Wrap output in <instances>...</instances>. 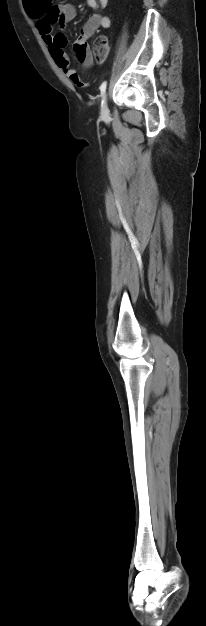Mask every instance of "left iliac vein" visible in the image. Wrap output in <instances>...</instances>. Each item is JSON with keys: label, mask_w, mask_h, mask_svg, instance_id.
Listing matches in <instances>:
<instances>
[{"label": "left iliac vein", "mask_w": 206, "mask_h": 626, "mask_svg": "<svg viewBox=\"0 0 206 626\" xmlns=\"http://www.w3.org/2000/svg\"><path fill=\"white\" fill-rule=\"evenodd\" d=\"M108 114H109V110H108V105H107V96L106 94H104L102 98L101 115L105 117Z\"/></svg>", "instance_id": "obj_1"}]
</instances>
